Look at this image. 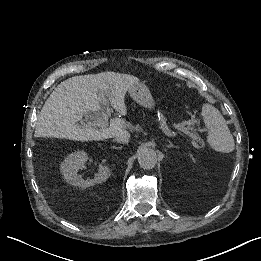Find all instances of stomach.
I'll return each mask as SVG.
<instances>
[{
	"label": "stomach",
	"mask_w": 261,
	"mask_h": 261,
	"mask_svg": "<svg viewBox=\"0 0 261 261\" xmlns=\"http://www.w3.org/2000/svg\"><path fill=\"white\" fill-rule=\"evenodd\" d=\"M128 92L132 99L139 105L149 109L155 107V100L145 84L136 83L128 89Z\"/></svg>",
	"instance_id": "stomach-1"
}]
</instances>
